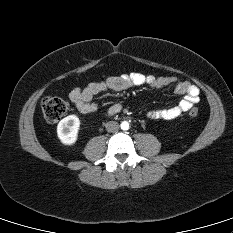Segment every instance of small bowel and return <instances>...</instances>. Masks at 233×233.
<instances>
[{
  "label": "small bowel",
  "instance_id": "c3829d8e",
  "mask_svg": "<svg viewBox=\"0 0 233 233\" xmlns=\"http://www.w3.org/2000/svg\"><path fill=\"white\" fill-rule=\"evenodd\" d=\"M175 85V93L184 95V98L175 106L170 108H160L149 112V117L154 120H172L184 112L190 110L199 102V89L196 85L188 81H181L175 76L145 75L134 72L118 77H110L102 82H92L85 88H75L69 94L70 101L83 114L93 113L97 110V105L92 102L95 95L106 91H122L133 86L148 85L152 88H161L168 85ZM122 110L119 103L113 104L106 112L108 116L118 114Z\"/></svg>",
  "mask_w": 233,
  "mask_h": 233
}]
</instances>
